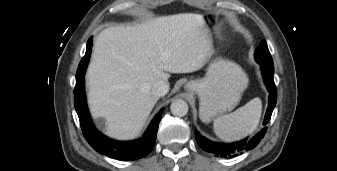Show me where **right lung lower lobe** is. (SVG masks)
<instances>
[{"label": "right lung lower lobe", "instance_id": "1", "mask_svg": "<svg viewBox=\"0 0 337 171\" xmlns=\"http://www.w3.org/2000/svg\"><path fill=\"white\" fill-rule=\"evenodd\" d=\"M92 37L88 40L85 56L82 58L74 89V102L84 137L99 153L117 160L131 161L147 156L154 148L158 125L163 109L154 117L146 134L137 141L119 142L111 140L101 134L93 125L84 92V74L91 54Z\"/></svg>", "mask_w": 337, "mask_h": 171}]
</instances>
